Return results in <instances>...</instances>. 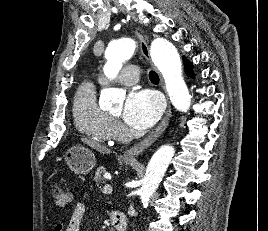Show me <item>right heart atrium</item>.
<instances>
[{"label": "right heart atrium", "mask_w": 268, "mask_h": 231, "mask_svg": "<svg viewBox=\"0 0 268 231\" xmlns=\"http://www.w3.org/2000/svg\"><path fill=\"white\" fill-rule=\"evenodd\" d=\"M122 131V125L118 121H114V138L117 137V135Z\"/></svg>", "instance_id": "d8ad5b80"}]
</instances>
